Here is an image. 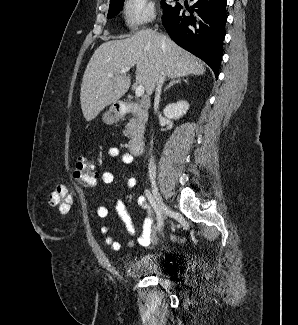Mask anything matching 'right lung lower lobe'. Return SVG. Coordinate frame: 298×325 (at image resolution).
<instances>
[{
    "instance_id": "right-lung-lower-lobe-1",
    "label": "right lung lower lobe",
    "mask_w": 298,
    "mask_h": 325,
    "mask_svg": "<svg viewBox=\"0 0 298 325\" xmlns=\"http://www.w3.org/2000/svg\"><path fill=\"white\" fill-rule=\"evenodd\" d=\"M194 1V0H191ZM227 0H197L185 15L176 5L164 11L162 23L171 39L206 62L218 76L223 55ZM194 13V15H193Z\"/></svg>"
}]
</instances>
